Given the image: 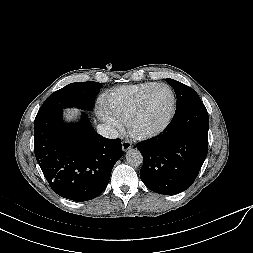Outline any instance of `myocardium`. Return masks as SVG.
<instances>
[{
	"instance_id": "f54148a6",
	"label": "myocardium",
	"mask_w": 253,
	"mask_h": 253,
	"mask_svg": "<svg viewBox=\"0 0 253 253\" xmlns=\"http://www.w3.org/2000/svg\"><path fill=\"white\" fill-rule=\"evenodd\" d=\"M159 86H164V87L168 88L171 92V96H172L171 112H170L167 120L160 127L155 128V129H149V130L138 129L136 127V123L142 113L146 99H147L148 95L150 94V92ZM176 111H177V97H176V94H175V91L173 90V88L167 83H163V82L154 83L142 93V95L140 96V98L137 102V105H136L134 111L132 112L131 116L129 117V119L127 121V127L129 130V133L132 136L137 137L139 139H150V138H154L156 136H159L164 131H166V129L171 125V123L176 115Z\"/></svg>"
}]
</instances>
